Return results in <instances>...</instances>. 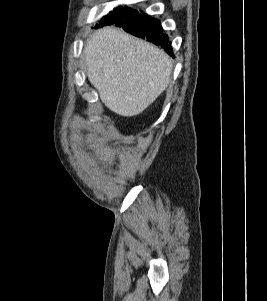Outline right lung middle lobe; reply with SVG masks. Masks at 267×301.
<instances>
[{
	"mask_svg": "<svg viewBox=\"0 0 267 301\" xmlns=\"http://www.w3.org/2000/svg\"><path fill=\"white\" fill-rule=\"evenodd\" d=\"M136 13H138V12L136 10H133L132 8H124L123 9L122 7H118L116 9H114V11L111 12L108 16H105L100 21V26L115 24V23L123 20L124 18L132 16Z\"/></svg>",
	"mask_w": 267,
	"mask_h": 301,
	"instance_id": "obj_1",
	"label": "right lung middle lobe"
}]
</instances>
